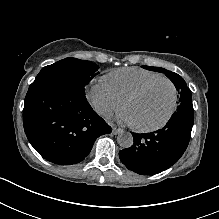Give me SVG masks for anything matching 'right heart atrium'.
Segmentation results:
<instances>
[{
    "label": "right heart atrium",
    "mask_w": 219,
    "mask_h": 219,
    "mask_svg": "<svg viewBox=\"0 0 219 219\" xmlns=\"http://www.w3.org/2000/svg\"><path fill=\"white\" fill-rule=\"evenodd\" d=\"M86 98L96 112L105 117L119 112L123 107V102L117 99L104 80L90 85L86 90Z\"/></svg>",
    "instance_id": "right-heart-atrium-1"
}]
</instances>
